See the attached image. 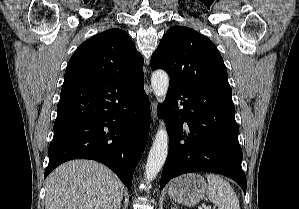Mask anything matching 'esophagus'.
I'll return each mask as SVG.
<instances>
[{"instance_id":"1","label":"esophagus","mask_w":299,"mask_h":209,"mask_svg":"<svg viewBox=\"0 0 299 209\" xmlns=\"http://www.w3.org/2000/svg\"><path fill=\"white\" fill-rule=\"evenodd\" d=\"M152 112H153V120H154L155 119V112H156L154 102L152 103Z\"/></svg>"}]
</instances>
